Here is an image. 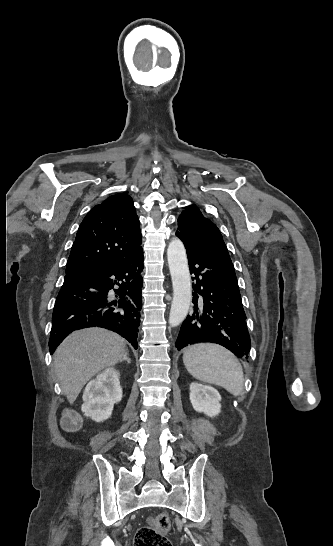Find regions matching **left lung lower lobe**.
Here are the masks:
<instances>
[{
  "label": "left lung lower lobe",
  "mask_w": 333,
  "mask_h": 546,
  "mask_svg": "<svg viewBox=\"0 0 333 546\" xmlns=\"http://www.w3.org/2000/svg\"><path fill=\"white\" fill-rule=\"evenodd\" d=\"M176 236L183 241L190 271L195 275L194 307L182 323L175 343L177 350L206 341L248 358L251 341L231 259L202 248L179 229Z\"/></svg>",
  "instance_id": "0a47b994"
}]
</instances>
